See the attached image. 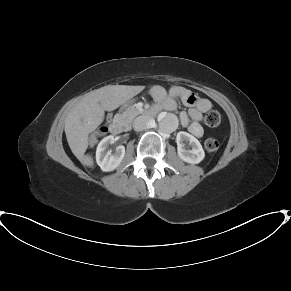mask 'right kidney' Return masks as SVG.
I'll return each instance as SVG.
<instances>
[{"instance_id": "obj_1", "label": "right kidney", "mask_w": 291, "mask_h": 291, "mask_svg": "<svg viewBox=\"0 0 291 291\" xmlns=\"http://www.w3.org/2000/svg\"><path fill=\"white\" fill-rule=\"evenodd\" d=\"M114 140V136L109 135L99 142L96 149L97 164L104 172H109L116 169L125 156L124 146H118L114 153H112L111 150H108L109 145L114 143Z\"/></svg>"}]
</instances>
